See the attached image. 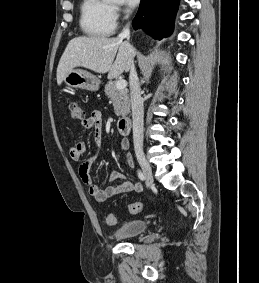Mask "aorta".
<instances>
[{
	"label": "aorta",
	"instance_id": "1",
	"mask_svg": "<svg viewBox=\"0 0 259 283\" xmlns=\"http://www.w3.org/2000/svg\"><path fill=\"white\" fill-rule=\"evenodd\" d=\"M106 2H123L124 0H104Z\"/></svg>",
	"mask_w": 259,
	"mask_h": 283
}]
</instances>
